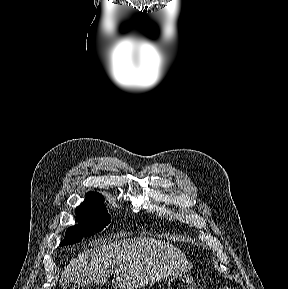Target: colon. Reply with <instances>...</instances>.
<instances>
[{
    "label": "colon",
    "instance_id": "1",
    "mask_svg": "<svg viewBox=\"0 0 288 289\" xmlns=\"http://www.w3.org/2000/svg\"><path fill=\"white\" fill-rule=\"evenodd\" d=\"M77 289H82V288H77ZM217 289H232V288L226 287V286H221V287H218Z\"/></svg>",
    "mask_w": 288,
    "mask_h": 289
}]
</instances>
